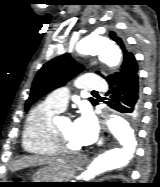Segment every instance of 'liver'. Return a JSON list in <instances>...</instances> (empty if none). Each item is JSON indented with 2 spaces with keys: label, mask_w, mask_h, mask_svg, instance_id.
<instances>
[{
  "label": "liver",
  "mask_w": 160,
  "mask_h": 187,
  "mask_svg": "<svg viewBox=\"0 0 160 187\" xmlns=\"http://www.w3.org/2000/svg\"><path fill=\"white\" fill-rule=\"evenodd\" d=\"M61 158H47L40 156H25L20 158L16 162H14L12 166V171L15 172L17 170L30 167V166H41V165H49L55 161L60 160Z\"/></svg>",
  "instance_id": "1"
}]
</instances>
